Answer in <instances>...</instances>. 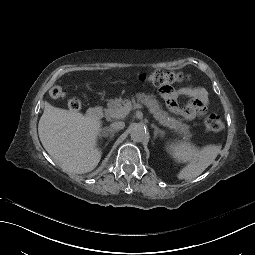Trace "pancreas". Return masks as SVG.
I'll use <instances>...</instances> for the list:
<instances>
[{"label":"pancreas","mask_w":255,"mask_h":255,"mask_svg":"<svg viewBox=\"0 0 255 255\" xmlns=\"http://www.w3.org/2000/svg\"><path fill=\"white\" fill-rule=\"evenodd\" d=\"M136 98L138 102L143 103L149 108L150 112L154 115V118L158 120L160 124H162L163 126L169 127L171 129H175L186 137H191V134L188 131L189 126L186 124H183L182 122L176 120L173 117H170L166 111H163L159 107V104L153 95L137 93ZM132 102L135 103L134 98L132 99ZM127 103H131V101L128 99L123 100L122 98L110 99L107 103L108 108L104 110L105 116L107 118H115V119H121L125 117L123 113V105Z\"/></svg>","instance_id":"obj_1"}]
</instances>
